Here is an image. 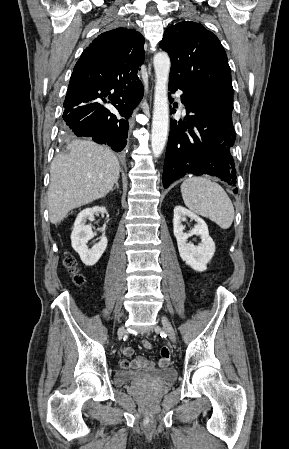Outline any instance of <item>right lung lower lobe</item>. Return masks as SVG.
<instances>
[{"label": "right lung lower lobe", "mask_w": 289, "mask_h": 449, "mask_svg": "<svg viewBox=\"0 0 289 449\" xmlns=\"http://www.w3.org/2000/svg\"><path fill=\"white\" fill-rule=\"evenodd\" d=\"M143 94L138 77L111 83L89 82L71 76L64 101L63 131L68 136L92 137L95 142L107 144L116 152L122 151L127 143V119ZM109 104L127 119H117L109 110Z\"/></svg>", "instance_id": "98d812e1"}]
</instances>
